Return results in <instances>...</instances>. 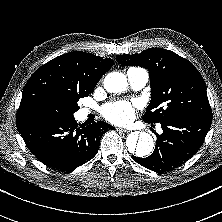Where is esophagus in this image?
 <instances>
[{
  "mask_svg": "<svg viewBox=\"0 0 222 222\" xmlns=\"http://www.w3.org/2000/svg\"><path fill=\"white\" fill-rule=\"evenodd\" d=\"M117 131L123 134H128L130 132L129 130L123 128H117Z\"/></svg>",
  "mask_w": 222,
  "mask_h": 222,
  "instance_id": "esophagus-1",
  "label": "esophagus"
}]
</instances>
